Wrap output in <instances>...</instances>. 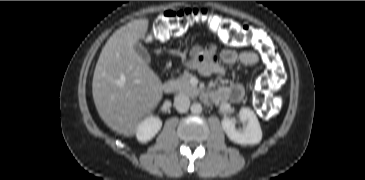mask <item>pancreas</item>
<instances>
[{
  "label": "pancreas",
  "mask_w": 365,
  "mask_h": 180,
  "mask_svg": "<svg viewBox=\"0 0 365 180\" xmlns=\"http://www.w3.org/2000/svg\"><path fill=\"white\" fill-rule=\"evenodd\" d=\"M175 90L181 94H185L190 97H195L199 94V89L190 83V75L185 72L181 77L173 79Z\"/></svg>",
  "instance_id": "pancreas-1"
}]
</instances>
